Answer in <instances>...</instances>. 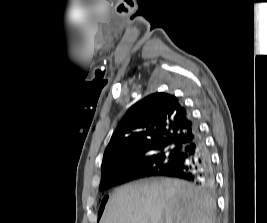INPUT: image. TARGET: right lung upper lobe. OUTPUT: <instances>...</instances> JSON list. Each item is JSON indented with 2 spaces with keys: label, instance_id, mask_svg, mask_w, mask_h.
I'll return each instance as SVG.
<instances>
[{
  "label": "right lung upper lobe",
  "instance_id": "cb5924a9",
  "mask_svg": "<svg viewBox=\"0 0 267 223\" xmlns=\"http://www.w3.org/2000/svg\"><path fill=\"white\" fill-rule=\"evenodd\" d=\"M197 136L196 124L178 98L154 93L134 104L114 131L102 162V180L136 172L143 157L175 147L179 151Z\"/></svg>",
  "mask_w": 267,
  "mask_h": 223
}]
</instances>
